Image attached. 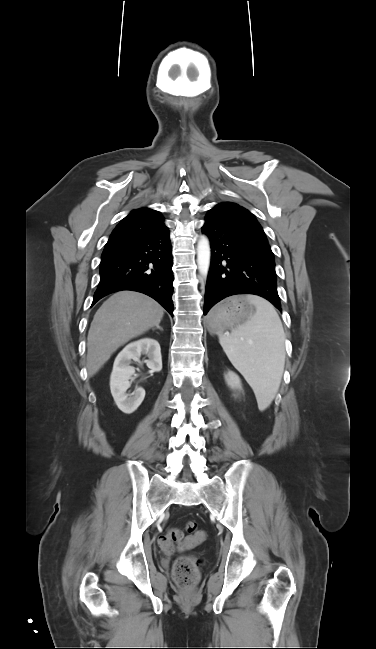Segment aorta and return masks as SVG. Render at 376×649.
<instances>
[{
    "mask_svg": "<svg viewBox=\"0 0 376 649\" xmlns=\"http://www.w3.org/2000/svg\"><path fill=\"white\" fill-rule=\"evenodd\" d=\"M197 263L202 277H206L210 265V244L208 238L202 236L197 245Z\"/></svg>",
    "mask_w": 376,
    "mask_h": 649,
    "instance_id": "762f6f07",
    "label": "aorta"
}]
</instances>
